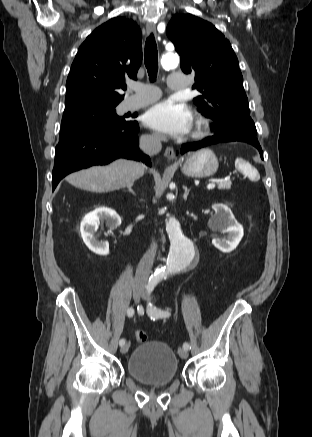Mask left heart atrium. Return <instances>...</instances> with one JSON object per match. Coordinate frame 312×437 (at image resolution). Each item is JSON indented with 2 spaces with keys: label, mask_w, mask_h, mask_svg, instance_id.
Returning a JSON list of instances; mask_svg holds the SVG:
<instances>
[{
  "label": "left heart atrium",
  "mask_w": 312,
  "mask_h": 437,
  "mask_svg": "<svg viewBox=\"0 0 312 437\" xmlns=\"http://www.w3.org/2000/svg\"><path fill=\"white\" fill-rule=\"evenodd\" d=\"M144 121L159 132L180 136L190 131L193 118L185 105L166 100L150 108L145 114Z\"/></svg>",
  "instance_id": "obj_1"
}]
</instances>
